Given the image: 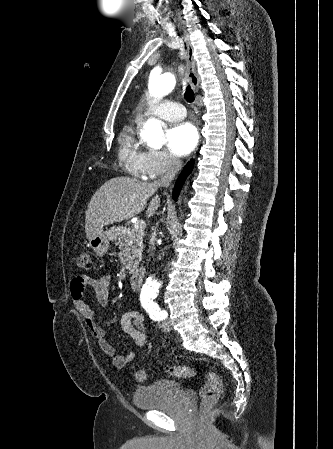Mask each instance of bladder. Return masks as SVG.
Returning a JSON list of instances; mask_svg holds the SVG:
<instances>
[{
    "label": "bladder",
    "mask_w": 333,
    "mask_h": 449,
    "mask_svg": "<svg viewBox=\"0 0 333 449\" xmlns=\"http://www.w3.org/2000/svg\"><path fill=\"white\" fill-rule=\"evenodd\" d=\"M182 392L174 380H160L147 386H138L133 393V404L141 410H155L171 406Z\"/></svg>",
    "instance_id": "31cf9c89"
}]
</instances>
